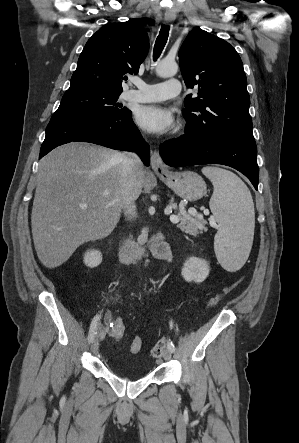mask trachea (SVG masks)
Wrapping results in <instances>:
<instances>
[{"label": "trachea", "instance_id": "1", "mask_svg": "<svg viewBox=\"0 0 299 443\" xmlns=\"http://www.w3.org/2000/svg\"><path fill=\"white\" fill-rule=\"evenodd\" d=\"M169 25H162L159 35L156 39L155 45H154V51H153V59L156 61L160 54L162 53V50L164 49L168 36H169Z\"/></svg>", "mask_w": 299, "mask_h": 443}]
</instances>
